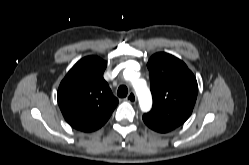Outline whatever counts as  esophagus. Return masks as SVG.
<instances>
[{
	"instance_id": "1",
	"label": "esophagus",
	"mask_w": 249,
	"mask_h": 165,
	"mask_svg": "<svg viewBox=\"0 0 249 165\" xmlns=\"http://www.w3.org/2000/svg\"><path fill=\"white\" fill-rule=\"evenodd\" d=\"M126 100L130 103H136L137 101V97H136V94L134 92H130L128 94V96L126 97Z\"/></svg>"
}]
</instances>
